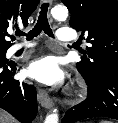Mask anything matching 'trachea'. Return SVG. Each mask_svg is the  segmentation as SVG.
<instances>
[{
	"mask_svg": "<svg viewBox=\"0 0 118 123\" xmlns=\"http://www.w3.org/2000/svg\"><path fill=\"white\" fill-rule=\"evenodd\" d=\"M47 12H48V3H44L41 6V11L37 20L36 25L29 33H24L22 31H16L17 36H26L27 40H32L34 37H37L42 30L45 34H47L49 37H53V32L50 28L48 18H47Z\"/></svg>",
	"mask_w": 118,
	"mask_h": 123,
	"instance_id": "1",
	"label": "trachea"
}]
</instances>
